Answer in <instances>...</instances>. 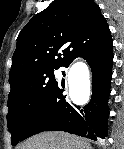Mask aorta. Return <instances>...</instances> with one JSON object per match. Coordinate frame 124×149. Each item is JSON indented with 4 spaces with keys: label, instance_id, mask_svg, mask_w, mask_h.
I'll return each instance as SVG.
<instances>
[{
    "label": "aorta",
    "instance_id": "aorta-1",
    "mask_svg": "<svg viewBox=\"0 0 124 149\" xmlns=\"http://www.w3.org/2000/svg\"><path fill=\"white\" fill-rule=\"evenodd\" d=\"M87 77V70L83 65L75 64L69 72V82L71 87L77 83L78 79L85 81Z\"/></svg>",
    "mask_w": 124,
    "mask_h": 149
}]
</instances>
